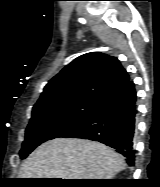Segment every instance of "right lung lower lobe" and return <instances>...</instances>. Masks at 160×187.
Listing matches in <instances>:
<instances>
[{
    "label": "right lung lower lobe",
    "mask_w": 160,
    "mask_h": 187,
    "mask_svg": "<svg viewBox=\"0 0 160 187\" xmlns=\"http://www.w3.org/2000/svg\"><path fill=\"white\" fill-rule=\"evenodd\" d=\"M136 101L135 85L129 80L99 99L86 116L58 137L101 142L116 149L133 166Z\"/></svg>",
    "instance_id": "obj_1"
}]
</instances>
